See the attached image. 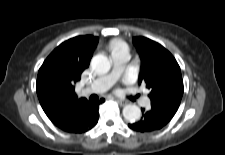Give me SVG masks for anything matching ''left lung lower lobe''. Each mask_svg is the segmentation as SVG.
Segmentation results:
<instances>
[{"instance_id": "0a47b994", "label": "left lung lower lobe", "mask_w": 225, "mask_h": 155, "mask_svg": "<svg viewBox=\"0 0 225 155\" xmlns=\"http://www.w3.org/2000/svg\"><path fill=\"white\" fill-rule=\"evenodd\" d=\"M142 118L128 126L135 131L151 132L163 128L173 118L176 111L163 107L151 106L149 110L142 109Z\"/></svg>"}]
</instances>
